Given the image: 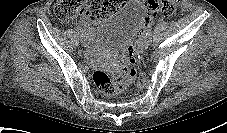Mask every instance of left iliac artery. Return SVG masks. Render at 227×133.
Instances as JSON below:
<instances>
[{
  "label": "left iliac artery",
  "instance_id": "44dca946",
  "mask_svg": "<svg viewBox=\"0 0 227 133\" xmlns=\"http://www.w3.org/2000/svg\"><path fill=\"white\" fill-rule=\"evenodd\" d=\"M145 34L151 36V34H152V27L149 26V27L146 29Z\"/></svg>",
  "mask_w": 227,
  "mask_h": 133
}]
</instances>
